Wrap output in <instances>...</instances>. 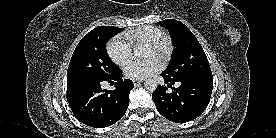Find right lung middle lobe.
<instances>
[{
  "label": "right lung middle lobe",
  "mask_w": 276,
  "mask_h": 138,
  "mask_svg": "<svg viewBox=\"0 0 276 138\" xmlns=\"http://www.w3.org/2000/svg\"><path fill=\"white\" fill-rule=\"evenodd\" d=\"M121 30L119 27L98 26L81 39L69 63L67 86L103 80L119 71L107 54L106 43Z\"/></svg>",
  "instance_id": "dd1d6c3e"
}]
</instances>
